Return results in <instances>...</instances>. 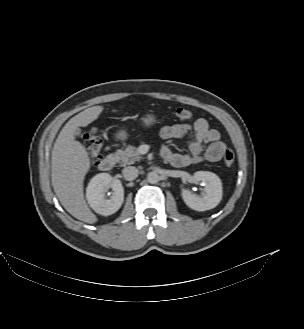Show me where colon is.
<instances>
[{"label":"colon","mask_w":304,"mask_h":329,"mask_svg":"<svg viewBox=\"0 0 304 329\" xmlns=\"http://www.w3.org/2000/svg\"><path fill=\"white\" fill-rule=\"evenodd\" d=\"M175 116L180 121H188L193 117L192 111L186 108H178L175 111ZM83 138L85 140L90 160L92 163H97L101 158L102 142L98 136L96 128H89L84 132ZM235 160V154L232 149L226 148L223 153V161L230 166Z\"/></svg>","instance_id":"5ec220e1"}]
</instances>
